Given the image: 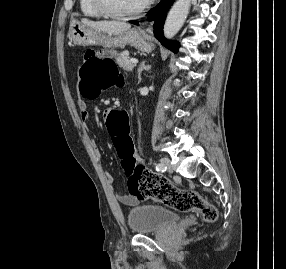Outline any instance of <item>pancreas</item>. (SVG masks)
Instances as JSON below:
<instances>
[{"label":"pancreas","instance_id":"pancreas-1","mask_svg":"<svg viewBox=\"0 0 286 269\" xmlns=\"http://www.w3.org/2000/svg\"><path fill=\"white\" fill-rule=\"evenodd\" d=\"M128 55V52L120 53L116 58V62L123 70L132 71L135 64L130 62Z\"/></svg>","mask_w":286,"mask_h":269}]
</instances>
